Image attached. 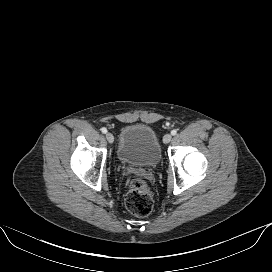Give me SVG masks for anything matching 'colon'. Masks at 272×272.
<instances>
[{"label":"colon","mask_w":272,"mask_h":272,"mask_svg":"<svg viewBox=\"0 0 272 272\" xmlns=\"http://www.w3.org/2000/svg\"><path fill=\"white\" fill-rule=\"evenodd\" d=\"M125 204L136 216L146 217L153 208V199L147 183L139 176H131L126 182Z\"/></svg>","instance_id":"colon-1"}]
</instances>
